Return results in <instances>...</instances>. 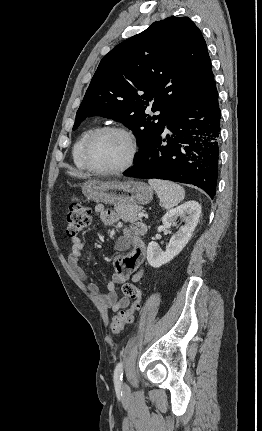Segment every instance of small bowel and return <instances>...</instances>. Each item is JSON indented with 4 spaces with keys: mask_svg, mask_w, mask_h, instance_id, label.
<instances>
[{
    "mask_svg": "<svg viewBox=\"0 0 262 431\" xmlns=\"http://www.w3.org/2000/svg\"><path fill=\"white\" fill-rule=\"evenodd\" d=\"M95 211L101 214V221L104 225L112 226L118 223L117 215L110 211H104L102 205H97ZM145 230L146 226L142 222H131L123 227V235L117 238L114 243V249L123 255L115 261L116 273L106 285L105 291H102L96 283H88V289L94 298L113 312L129 305V298L118 295L117 285L128 280L138 282L142 278V265L146 253L142 236ZM70 241L69 265L81 281H86L87 274L81 267L82 252L86 247V242L81 237H73Z\"/></svg>",
    "mask_w": 262,
    "mask_h": 431,
    "instance_id": "1",
    "label": "small bowel"
}]
</instances>
